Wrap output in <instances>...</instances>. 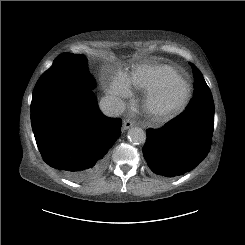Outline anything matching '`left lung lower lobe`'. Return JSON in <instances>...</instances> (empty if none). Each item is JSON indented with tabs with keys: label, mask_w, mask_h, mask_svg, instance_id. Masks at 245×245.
I'll return each instance as SVG.
<instances>
[{
	"label": "left lung lower lobe",
	"mask_w": 245,
	"mask_h": 245,
	"mask_svg": "<svg viewBox=\"0 0 245 245\" xmlns=\"http://www.w3.org/2000/svg\"><path fill=\"white\" fill-rule=\"evenodd\" d=\"M201 84L195 99H202ZM199 94L202 97L197 96ZM214 129V101H194L163 127L147 130L143 154L157 175L176 177L194 169L208 154Z\"/></svg>",
	"instance_id": "obj_1"
}]
</instances>
